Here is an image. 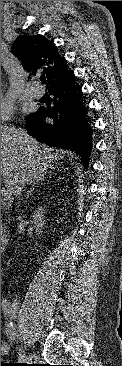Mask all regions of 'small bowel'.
<instances>
[{
    "mask_svg": "<svg viewBox=\"0 0 122 366\" xmlns=\"http://www.w3.org/2000/svg\"><path fill=\"white\" fill-rule=\"evenodd\" d=\"M7 352L6 345H1V356L4 355Z\"/></svg>",
    "mask_w": 122,
    "mask_h": 366,
    "instance_id": "c3829d8e",
    "label": "small bowel"
}]
</instances>
